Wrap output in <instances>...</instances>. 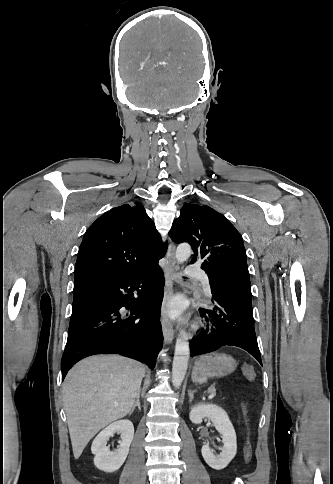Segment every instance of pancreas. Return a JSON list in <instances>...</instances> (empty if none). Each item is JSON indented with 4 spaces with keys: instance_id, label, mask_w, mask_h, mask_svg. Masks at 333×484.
I'll use <instances>...</instances> for the list:
<instances>
[{
    "instance_id": "obj_1",
    "label": "pancreas",
    "mask_w": 333,
    "mask_h": 484,
    "mask_svg": "<svg viewBox=\"0 0 333 484\" xmlns=\"http://www.w3.org/2000/svg\"><path fill=\"white\" fill-rule=\"evenodd\" d=\"M215 391H216L215 386L214 385H211L208 388L207 393L213 394V393H215Z\"/></svg>"
}]
</instances>
